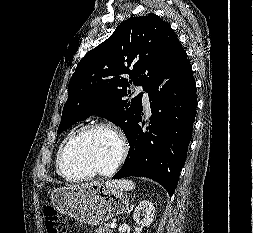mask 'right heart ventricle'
<instances>
[{"mask_svg":"<svg viewBox=\"0 0 253 233\" xmlns=\"http://www.w3.org/2000/svg\"><path fill=\"white\" fill-rule=\"evenodd\" d=\"M72 134L68 135L63 141L62 143L59 145L58 149H57V153H56V171L58 174H60L59 172V157H60V153L66 143V141L69 139V137L71 136Z\"/></svg>","mask_w":253,"mask_h":233,"instance_id":"1","label":"right heart ventricle"}]
</instances>
